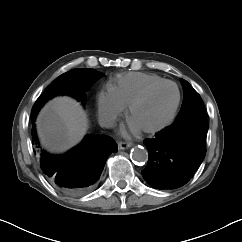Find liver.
<instances>
[{"instance_id": "liver-1", "label": "liver", "mask_w": 242, "mask_h": 242, "mask_svg": "<svg viewBox=\"0 0 242 242\" xmlns=\"http://www.w3.org/2000/svg\"><path fill=\"white\" fill-rule=\"evenodd\" d=\"M37 126L43 143L54 150H65L83 138L87 117L78 102L57 97L43 108Z\"/></svg>"}]
</instances>
